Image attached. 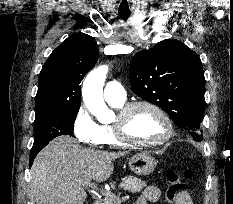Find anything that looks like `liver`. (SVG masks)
Instances as JSON below:
<instances>
[{"mask_svg":"<svg viewBox=\"0 0 233 204\" xmlns=\"http://www.w3.org/2000/svg\"><path fill=\"white\" fill-rule=\"evenodd\" d=\"M126 152L80 148L68 135L53 139L31 167V190L36 204H83L84 187L92 180L104 182L113 173V160Z\"/></svg>","mask_w":233,"mask_h":204,"instance_id":"1","label":"liver"}]
</instances>
